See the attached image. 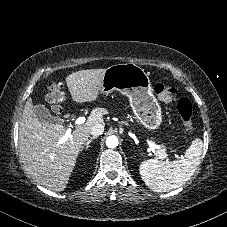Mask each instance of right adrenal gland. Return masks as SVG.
<instances>
[{
	"instance_id": "obj_1",
	"label": "right adrenal gland",
	"mask_w": 227,
	"mask_h": 227,
	"mask_svg": "<svg viewBox=\"0 0 227 227\" xmlns=\"http://www.w3.org/2000/svg\"><path fill=\"white\" fill-rule=\"evenodd\" d=\"M97 138L96 136H93L90 138V140L87 141V143L85 144V147H83V149H87L90 146V143L92 142L93 139Z\"/></svg>"
}]
</instances>
